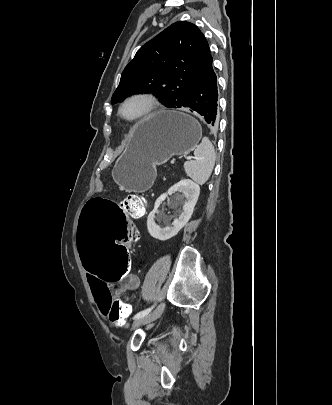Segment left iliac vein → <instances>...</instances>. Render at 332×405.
Returning <instances> with one entry per match:
<instances>
[{"label": "left iliac vein", "instance_id": "4c4485c4", "mask_svg": "<svg viewBox=\"0 0 332 405\" xmlns=\"http://www.w3.org/2000/svg\"><path fill=\"white\" fill-rule=\"evenodd\" d=\"M165 305V302H162L151 314L135 319L132 324V328H137L138 326L148 324L159 318L165 309Z\"/></svg>", "mask_w": 332, "mask_h": 405}]
</instances>
